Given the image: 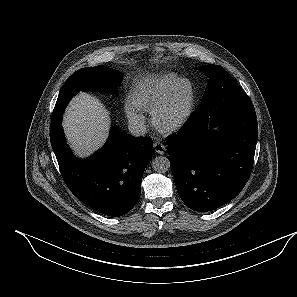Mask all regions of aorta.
Wrapping results in <instances>:
<instances>
[{"label": "aorta", "mask_w": 297, "mask_h": 297, "mask_svg": "<svg viewBox=\"0 0 297 297\" xmlns=\"http://www.w3.org/2000/svg\"><path fill=\"white\" fill-rule=\"evenodd\" d=\"M152 168L158 173H165L170 169V161L167 157L158 156L152 161Z\"/></svg>", "instance_id": "obj_1"}]
</instances>
